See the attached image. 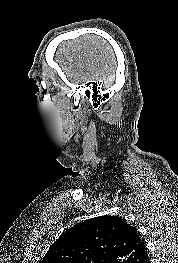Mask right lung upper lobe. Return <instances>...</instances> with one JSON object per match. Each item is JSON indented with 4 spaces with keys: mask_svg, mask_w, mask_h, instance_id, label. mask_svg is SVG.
Here are the masks:
<instances>
[{
    "mask_svg": "<svg viewBox=\"0 0 178 263\" xmlns=\"http://www.w3.org/2000/svg\"><path fill=\"white\" fill-rule=\"evenodd\" d=\"M149 258L137 229L118 216H100L61 234L40 263H145Z\"/></svg>",
    "mask_w": 178,
    "mask_h": 263,
    "instance_id": "right-lung-upper-lobe-1",
    "label": "right lung upper lobe"
}]
</instances>
